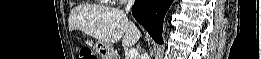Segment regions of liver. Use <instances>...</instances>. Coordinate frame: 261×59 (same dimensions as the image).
I'll list each match as a JSON object with an SVG mask.
<instances>
[{"mask_svg":"<svg viewBox=\"0 0 261 59\" xmlns=\"http://www.w3.org/2000/svg\"><path fill=\"white\" fill-rule=\"evenodd\" d=\"M69 30H81L106 44L117 43L133 46L141 37L135 24L119 9L93 8L87 11L74 10L69 17Z\"/></svg>","mask_w":261,"mask_h":59,"instance_id":"obj_1","label":"liver"}]
</instances>
